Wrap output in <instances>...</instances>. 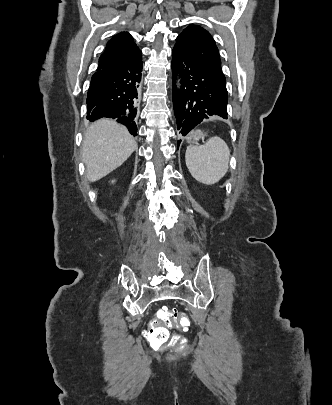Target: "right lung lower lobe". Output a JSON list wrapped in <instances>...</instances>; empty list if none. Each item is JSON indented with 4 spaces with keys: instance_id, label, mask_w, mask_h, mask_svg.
<instances>
[{
    "instance_id": "1",
    "label": "right lung lower lobe",
    "mask_w": 332,
    "mask_h": 405,
    "mask_svg": "<svg viewBox=\"0 0 332 405\" xmlns=\"http://www.w3.org/2000/svg\"><path fill=\"white\" fill-rule=\"evenodd\" d=\"M141 71V58L120 68L97 70L88 90L87 119L117 118L132 135H137Z\"/></svg>"
}]
</instances>
